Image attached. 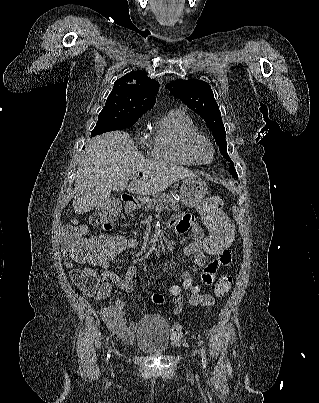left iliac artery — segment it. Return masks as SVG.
Returning <instances> with one entry per match:
<instances>
[{
	"instance_id": "left-iliac-artery-1",
	"label": "left iliac artery",
	"mask_w": 319,
	"mask_h": 403,
	"mask_svg": "<svg viewBox=\"0 0 319 403\" xmlns=\"http://www.w3.org/2000/svg\"><path fill=\"white\" fill-rule=\"evenodd\" d=\"M200 350H201V357H202L203 367H206L207 358H206L205 350L203 349V347Z\"/></svg>"
}]
</instances>
